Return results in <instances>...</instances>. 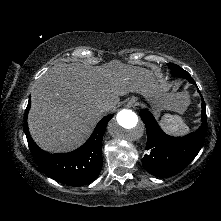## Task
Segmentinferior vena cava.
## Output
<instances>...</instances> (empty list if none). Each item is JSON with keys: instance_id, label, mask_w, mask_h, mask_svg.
Returning <instances> with one entry per match:
<instances>
[{"instance_id": "1", "label": "inferior vena cava", "mask_w": 221, "mask_h": 221, "mask_svg": "<svg viewBox=\"0 0 221 221\" xmlns=\"http://www.w3.org/2000/svg\"><path fill=\"white\" fill-rule=\"evenodd\" d=\"M110 110V107L106 104L102 105L100 108H99V112L101 114H103L104 112H108Z\"/></svg>"}]
</instances>
